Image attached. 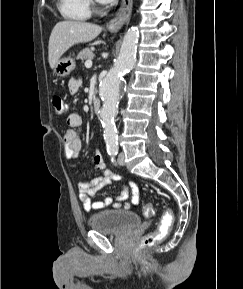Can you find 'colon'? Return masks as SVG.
I'll return each mask as SVG.
<instances>
[{
	"mask_svg": "<svg viewBox=\"0 0 243 289\" xmlns=\"http://www.w3.org/2000/svg\"><path fill=\"white\" fill-rule=\"evenodd\" d=\"M54 112L56 116L61 117L66 113V104L61 96H54L52 100ZM143 215L151 217L154 214V208L151 204H146L142 209ZM173 223V213L170 209H166L160 219L158 227L155 231L144 235L140 240V247L146 248L160 242L169 233Z\"/></svg>",
	"mask_w": 243,
	"mask_h": 289,
	"instance_id": "5ec220e1",
	"label": "colon"
}]
</instances>
